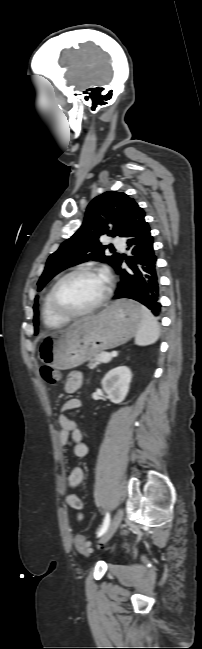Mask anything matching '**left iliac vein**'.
Instances as JSON below:
<instances>
[{
    "label": "left iliac vein",
    "mask_w": 202,
    "mask_h": 649,
    "mask_svg": "<svg viewBox=\"0 0 202 649\" xmlns=\"http://www.w3.org/2000/svg\"><path fill=\"white\" fill-rule=\"evenodd\" d=\"M122 519H123V511H122V509H119L116 512V514L114 515V518L112 519L107 531L105 532V534L100 539L99 543L101 545L106 544L111 539V537L114 535L117 528L119 527Z\"/></svg>",
    "instance_id": "4c4485c4"
}]
</instances>
